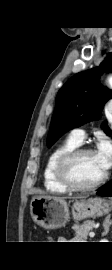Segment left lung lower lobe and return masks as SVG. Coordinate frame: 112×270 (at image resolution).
Wrapping results in <instances>:
<instances>
[{
    "mask_svg": "<svg viewBox=\"0 0 112 270\" xmlns=\"http://www.w3.org/2000/svg\"><path fill=\"white\" fill-rule=\"evenodd\" d=\"M102 189L97 192L100 196H112V180L101 187Z\"/></svg>",
    "mask_w": 112,
    "mask_h": 270,
    "instance_id": "obj_1",
    "label": "left lung lower lobe"
}]
</instances>
